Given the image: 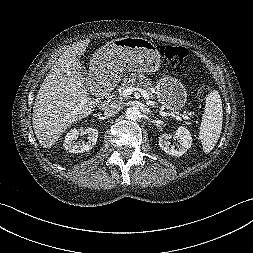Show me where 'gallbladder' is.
Here are the masks:
<instances>
[{
  "label": "gallbladder",
  "instance_id": "obj_1",
  "mask_svg": "<svg viewBox=\"0 0 253 253\" xmlns=\"http://www.w3.org/2000/svg\"><path fill=\"white\" fill-rule=\"evenodd\" d=\"M82 73H83V83L84 84H87V77L85 76L86 75V73H85V71H82Z\"/></svg>",
  "mask_w": 253,
  "mask_h": 253
}]
</instances>
